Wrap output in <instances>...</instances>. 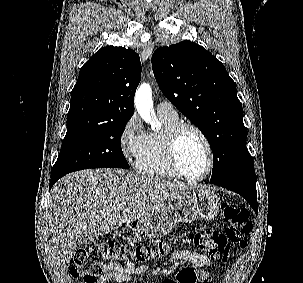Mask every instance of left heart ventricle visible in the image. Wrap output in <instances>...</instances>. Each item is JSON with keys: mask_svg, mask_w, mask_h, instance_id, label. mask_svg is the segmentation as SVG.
Instances as JSON below:
<instances>
[{"mask_svg": "<svg viewBox=\"0 0 303 283\" xmlns=\"http://www.w3.org/2000/svg\"><path fill=\"white\" fill-rule=\"evenodd\" d=\"M178 160L183 172L190 177L201 176L208 163L206 148L192 130H185L178 143Z\"/></svg>", "mask_w": 303, "mask_h": 283, "instance_id": "obj_1", "label": "left heart ventricle"}]
</instances>
